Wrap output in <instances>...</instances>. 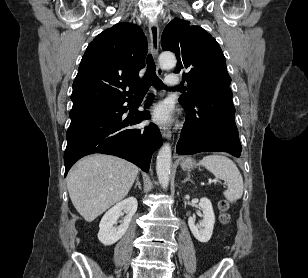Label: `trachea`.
<instances>
[{"label":"trachea","mask_w":308,"mask_h":278,"mask_svg":"<svg viewBox=\"0 0 308 278\" xmlns=\"http://www.w3.org/2000/svg\"><path fill=\"white\" fill-rule=\"evenodd\" d=\"M154 86L158 89H176L170 88L163 84V82L156 75V66L151 54L147 56V71L141 81L136 87V95L144 94L147 92L150 86Z\"/></svg>","instance_id":"trachea-1"}]
</instances>
